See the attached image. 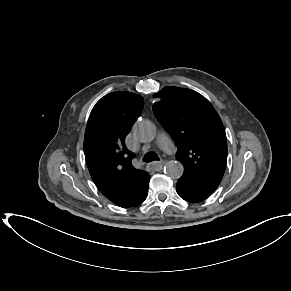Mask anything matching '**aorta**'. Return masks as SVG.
I'll return each instance as SVG.
<instances>
[{"label": "aorta", "instance_id": "aorta-1", "mask_svg": "<svg viewBox=\"0 0 291 291\" xmlns=\"http://www.w3.org/2000/svg\"><path fill=\"white\" fill-rule=\"evenodd\" d=\"M133 132L137 140L147 143L154 140L156 136V127L151 121L142 120L135 124ZM183 171V165L179 161L171 160L166 163L165 172L172 179L180 178Z\"/></svg>", "mask_w": 291, "mask_h": 291}]
</instances>
